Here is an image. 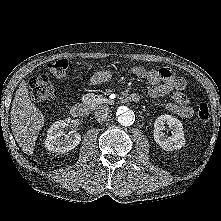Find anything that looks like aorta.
Instances as JSON below:
<instances>
[{
	"instance_id": "aorta-1",
	"label": "aorta",
	"mask_w": 221,
	"mask_h": 221,
	"mask_svg": "<svg viewBox=\"0 0 221 221\" xmlns=\"http://www.w3.org/2000/svg\"><path fill=\"white\" fill-rule=\"evenodd\" d=\"M117 116V120L121 126H130L135 121L134 112L126 107L119 108Z\"/></svg>"
}]
</instances>
